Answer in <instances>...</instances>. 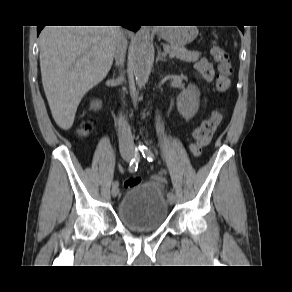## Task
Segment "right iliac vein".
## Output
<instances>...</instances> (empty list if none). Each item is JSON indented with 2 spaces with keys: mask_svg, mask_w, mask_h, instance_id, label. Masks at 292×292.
<instances>
[{
  "mask_svg": "<svg viewBox=\"0 0 292 292\" xmlns=\"http://www.w3.org/2000/svg\"><path fill=\"white\" fill-rule=\"evenodd\" d=\"M131 158H132L131 154H128V153L123 154V159H124V160H126V161H130ZM118 193H119V189H118V187H113V188H112V196H113V197H116V196L118 195Z\"/></svg>",
  "mask_w": 292,
  "mask_h": 292,
  "instance_id": "obj_1",
  "label": "right iliac vein"
}]
</instances>
